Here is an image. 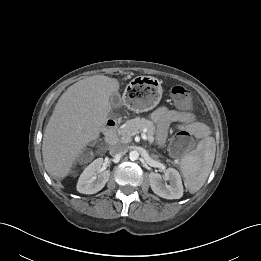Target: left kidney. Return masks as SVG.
Returning <instances> with one entry per match:
<instances>
[{
  "instance_id": "obj_1",
  "label": "left kidney",
  "mask_w": 261,
  "mask_h": 261,
  "mask_svg": "<svg viewBox=\"0 0 261 261\" xmlns=\"http://www.w3.org/2000/svg\"><path fill=\"white\" fill-rule=\"evenodd\" d=\"M149 181L152 191L162 198L180 199L183 196L181 176L174 168L166 169L163 178L160 174L151 172L149 174Z\"/></svg>"
}]
</instances>
